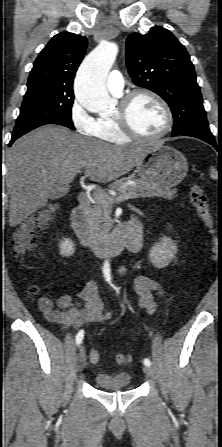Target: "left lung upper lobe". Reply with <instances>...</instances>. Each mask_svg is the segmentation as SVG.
Wrapping results in <instances>:
<instances>
[{"mask_svg":"<svg viewBox=\"0 0 222 447\" xmlns=\"http://www.w3.org/2000/svg\"><path fill=\"white\" fill-rule=\"evenodd\" d=\"M126 64L137 86L157 93L169 104L173 134L213 137L189 54L169 30L152 27L147 34L129 35Z\"/></svg>","mask_w":222,"mask_h":447,"instance_id":"obj_1","label":"left lung upper lobe"}]
</instances>
